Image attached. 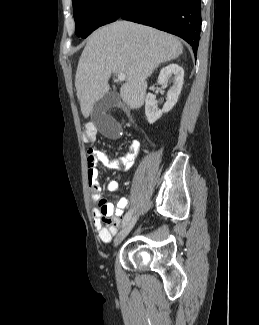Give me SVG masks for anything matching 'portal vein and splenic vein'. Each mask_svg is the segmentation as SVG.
I'll return each instance as SVG.
<instances>
[{"mask_svg":"<svg viewBox=\"0 0 259 325\" xmlns=\"http://www.w3.org/2000/svg\"><path fill=\"white\" fill-rule=\"evenodd\" d=\"M126 79V75L124 73H119L118 74V80L119 81H125Z\"/></svg>","mask_w":259,"mask_h":325,"instance_id":"portal-vein-and-splenic-vein-1","label":"portal vein and splenic vein"}]
</instances>
